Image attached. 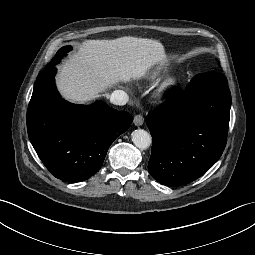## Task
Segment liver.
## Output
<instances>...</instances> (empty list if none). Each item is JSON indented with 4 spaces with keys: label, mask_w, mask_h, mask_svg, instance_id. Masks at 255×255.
I'll use <instances>...</instances> for the list:
<instances>
[{
    "label": "liver",
    "mask_w": 255,
    "mask_h": 255,
    "mask_svg": "<svg viewBox=\"0 0 255 255\" xmlns=\"http://www.w3.org/2000/svg\"><path fill=\"white\" fill-rule=\"evenodd\" d=\"M166 61L164 46L157 40L130 36L87 40L60 68L57 86L69 101L86 103L115 84L143 78Z\"/></svg>",
    "instance_id": "1"
}]
</instances>
